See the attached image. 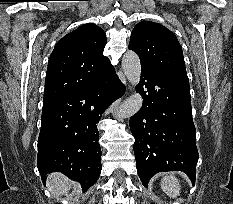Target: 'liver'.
<instances>
[{
	"label": "liver",
	"mask_w": 233,
	"mask_h": 204,
	"mask_svg": "<svg viewBox=\"0 0 233 204\" xmlns=\"http://www.w3.org/2000/svg\"><path fill=\"white\" fill-rule=\"evenodd\" d=\"M48 185L57 194L68 193L75 184L61 173H52L47 178Z\"/></svg>",
	"instance_id": "1"
}]
</instances>
